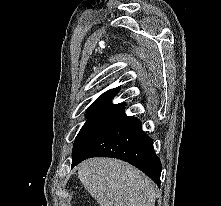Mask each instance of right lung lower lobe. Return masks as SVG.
Returning <instances> with one entry per match:
<instances>
[{
	"label": "right lung lower lobe",
	"instance_id": "right-lung-lower-lobe-1",
	"mask_svg": "<svg viewBox=\"0 0 221 206\" xmlns=\"http://www.w3.org/2000/svg\"><path fill=\"white\" fill-rule=\"evenodd\" d=\"M91 157H114L134 165L160 186L161 162L139 119L125 114L72 161V168Z\"/></svg>",
	"mask_w": 221,
	"mask_h": 206
}]
</instances>
